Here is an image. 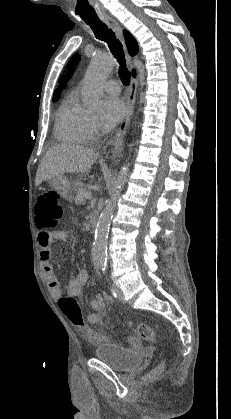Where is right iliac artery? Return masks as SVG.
<instances>
[{"instance_id": "1", "label": "right iliac artery", "mask_w": 231, "mask_h": 419, "mask_svg": "<svg viewBox=\"0 0 231 419\" xmlns=\"http://www.w3.org/2000/svg\"><path fill=\"white\" fill-rule=\"evenodd\" d=\"M101 268H102V270H104V267L103 266H101Z\"/></svg>"}]
</instances>
